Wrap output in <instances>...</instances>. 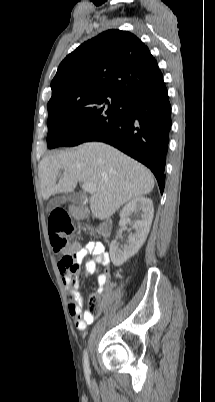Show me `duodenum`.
<instances>
[{"label": "duodenum", "instance_id": "obj_1", "mask_svg": "<svg viewBox=\"0 0 215 402\" xmlns=\"http://www.w3.org/2000/svg\"><path fill=\"white\" fill-rule=\"evenodd\" d=\"M73 211H74V214L77 217H80V218L84 217L86 215L85 210L83 208H80V207H75L73 209ZM110 232H111V223H110V221H108V220L102 221L100 223V225H99V234L102 237H108L110 235Z\"/></svg>", "mask_w": 215, "mask_h": 402}]
</instances>
